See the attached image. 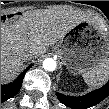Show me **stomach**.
Here are the masks:
<instances>
[{"instance_id": "1", "label": "stomach", "mask_w": 109, "mask_h": 109, "mask_svg": "<svg viewBox=\"0 0 109 109\" xmlns=\"http://www.w3.org/2000/svg\"><path fill=\"white\" fill-rule=\"evenodd\" d=\"M56 51L70 73L84 74L109 62V38L96 24L82 21L57 43Z\"/></svg>"}]
</instances>
